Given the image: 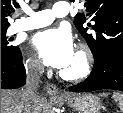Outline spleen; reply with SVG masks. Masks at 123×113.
Listing matches in <instances>:
<instances>
[{
    "label": "spleen",
    "mask_w": 123,
    "mask_h": 113,
    "mask_svg": "<svg viewBox=\"0 0 123 113\" xmlns=\"http://www.w3.org/2000/svg\"><path fill=\"white\" fill-rule=\"evenodd\" d=\"M106 95V94H104ZM113 98L118 101L119 107L121 109V111L123 112V94H120L118 92H114L113 93Z\"/></svg>",
    "instance_id": "obj_1"
}]
</instances>
